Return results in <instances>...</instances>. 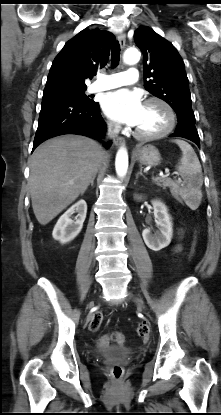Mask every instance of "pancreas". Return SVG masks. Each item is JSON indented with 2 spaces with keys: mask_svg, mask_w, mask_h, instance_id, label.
<instances>
[{
  "mask_svg": "<svg viewBox=\"0 0 221 415\" xmlns=\"http://www.w3.org/2000/svg\"><path fill=\"white\" fill-rule=\"evenodd\" d=\"M154 182H155L158 186H161V187H163V188H165V187H167L169 184H171V181H170L169 179H166V178H156V179H154ZM171 193H172V195H173L175 198H177V197H178V196H177V192H176V191L172 190V191H171Z\"/></svg>",
  "mask_w": 221,
  "mask_h": 415,
  "instance_id": "1",
  "label": "pancreas"
}]
</instances>
